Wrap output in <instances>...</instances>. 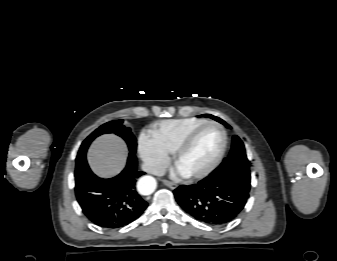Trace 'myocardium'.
<instances>
[{
  "label": "myocardium",
  "instance_id": "myocardium-1",
  "mask_svg": "<svg viewBox=\"0 0 337 261\" xmlns=\"http://www.w3.org/2000/svg\"><path fill=\"white\" fill-rule=\"evenodd\" d=\"M209 126H214L216 128H218L222 134V145L221 148L218 152V154L216 155V157L212 160V162L206 166L204 169L192 173V174H184L183 176L187 179H191V180H196V179H201L204 178L206 176H208L209 174H211L221 163L226 150H227V146H228V135L227 132L225 130V128L223 127V125H221L220 123L216 122V121H206L198 126H196L195 128H193L185 137L184 139L181 141V143L178 145V147L176 148V150L173 153V163L175 165V167H178V163L181 159V157L187 152V150L190 148V146L192 145L193 141L195 140V138L197 137V135L206 127Z\"/></svg>",
  "mask_w": 337,
  "mask_h": 261
}]
</instances>
